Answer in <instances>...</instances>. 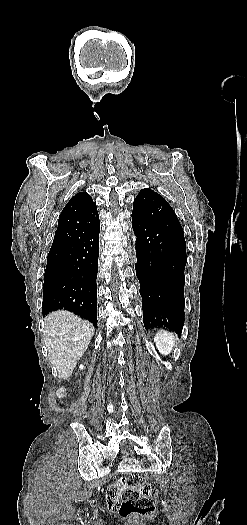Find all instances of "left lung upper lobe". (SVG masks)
I'll return each mask as SVG.
<instances>
[{
  "mask_svg": "<svg viewBox=\"0 0 247 525\" xmlns=\"http://www.w3.org/2000/svg\"><path fill=\"white\" fill-rule=\"evenodd\" d=\"M132 218L163 226L184 238L179 220L167 201L155 191L144 188L134 199Z\"/></svg>",
  "mask_w": 247,
  "mask_h": 525,
  "instance_id": "obj_1",
  "label": "left lung upper lobe"
}]
</instances>
